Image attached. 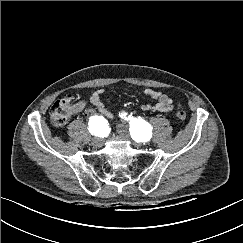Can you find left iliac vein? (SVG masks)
<instances>
[{"instance_id": "1", "label": "left iliac vein", "mask_w": 243, "mask_h": 243, "mask_svg": "<svg viewBox=\"0 0 243 243\" xmlns=\"http://www.w3.org/2000/svg\"><path fill=\"white\" fill-rule=\"evenodd\" d=\"M117 131L120 135H122L124 138L129 139V132L125 125L119 124L117 125ZM137 146H140V143H136Z\"/></svg>"}]
</instances>
